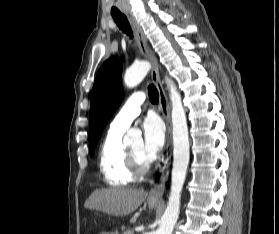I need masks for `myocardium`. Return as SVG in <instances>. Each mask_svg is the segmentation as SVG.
I'll return each mask as SVG.
<instances>
[{"mask_svg":"<svg viewBox=\"0 0 279 234\" xmlns=\"http://www.w3.org/2000/svg\"><path fill=\"white\" fill-rule=\"evenodd\" d=\"M127 148V162L134 177L144 175L151 166L152 160H142L131 148Z\"/></svg>","mask_w":279,"mask_h":234,"instance_id":"f54148a6","label":"myocardium"}]
</instances>
